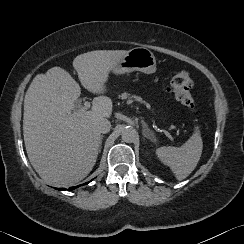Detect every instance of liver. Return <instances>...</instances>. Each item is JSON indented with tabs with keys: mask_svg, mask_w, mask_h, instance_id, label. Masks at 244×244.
I'll return each instance as SVG.
<instances>
[{
	"mask_svg": "<svg viewBox=\"0 0 244 244\" xmlns=\"http://www.w3.org/2000/svg\"><path fill=\"white\" fill-rule=\"evenodd\" d=\"M126 53L96 50L78 55L73 67L81 85L103 94L108 74ZM80 94L72 76L55 66L35 76L25 95L23 135L28 158L42 179L56 185L77 183L91 172L101 137L96 122L112 114V101L103 95L93 100L91 110L71 114Z\"/></svg>",
	"mask_w": 244,
	"mask_h": 244,
	"instance_id": "liver-1",
	"label": "liver"
}]
</instances>
